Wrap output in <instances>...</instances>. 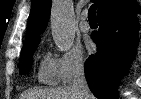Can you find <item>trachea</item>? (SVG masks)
Listing matches in <instances>:
<instances>
[{
	"label": "trachea",
	"mask_w": 141,
	"mask_h": 99,
	"mask_svg": "<svg viewBox=\"0 0 141 99\" xmlns=\"http://www.w3.org/2000/svg\"><path fill=\"white\" fill-rule=\"evenodd\" d=\"M96 9H97L96 4H92L91 7L89 8V11H88V19H89V21L97 20Z\"/></svg>",
	"instance_id": "obj_1"
}]
</instances>
